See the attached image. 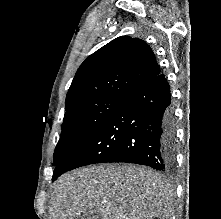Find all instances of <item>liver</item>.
<instances>
[{"mask_svg":"<svg viewBox=\"0 0 221 219\" xmlns=\"http://www.w3.org/2000/svg\"><path fill=\"white\" fill-rule=\"evenodd\" d=\"M96 209L101 219H168L173 193L162 176L133 165L90 166L66 173L53 187V219H78Z\"/></svg>","mask_w":221,"mask_h":219,"instance_id":"6515ba94","label":"liver"}]
</instances>
